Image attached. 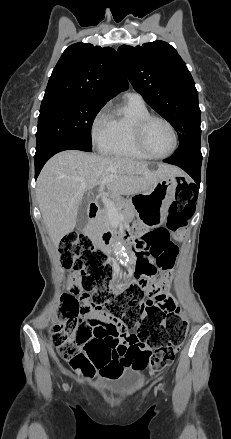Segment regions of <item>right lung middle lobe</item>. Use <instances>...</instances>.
I'll return each instance as SVG.
<instances>
[{"label": "right lung middle lobe", "instance_id": "right-lung-middle-lobe-1", "mask_svg": "<svg viewBox=\"0 0 231 439\" xmlns=\"http://www.w3.org/2000/svg\"><path fill=\"white\" fill-rule=\"evenodd\" d=\"M105 103L63 99L41 103L36 133V154L59 140H69L92 149L91 127Z\"/></svg>", "mask_w": 231, "mask_h": 439}]
</instances>
